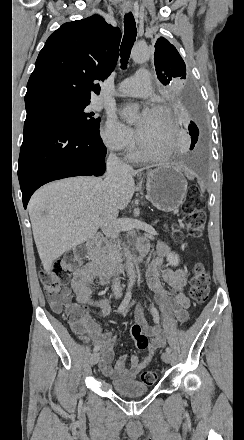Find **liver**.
I'll use <instances>...</instances> for the list:
<instances>
[{"instance_id":"1","label":"liver","mask_w":244,"mask_h":440,"mask_svg":"<svg viewBox=\"0 0 244 440\" xmlns=\"http://www.w3.org/2000/svg\"><path fill=\"white\" fill-rule=\"evenodd\" d=\"M141 170H130L110 192L102 178L78 176L57 180L42 186L33 194L28 212L32 232L45 272L52 270L54 260L64 252L84 244L95 236L100 226L102 210L107 206V192L116 200L118 210H124L133 198V176ZM79 220V224H74Z\"/></svg>"}]
</instances>
